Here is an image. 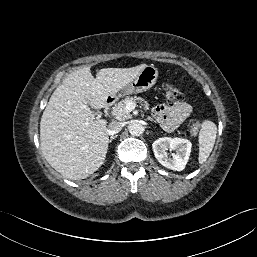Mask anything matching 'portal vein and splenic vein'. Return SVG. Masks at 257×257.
I'll return each instance as SVG.
<instances>
[{
  "label": "portal vein and splenic vein",
  "mask_w": 257,
  "mask_h": 257,
  "mask_svg": "<svg viewBox=\"0 0 257 257\" xmlns=\"http://www.w3.org/2000/svg\"><path fill=\"white\" fill-rule=\"evenodd\" d=\"M134 108H135V103L133 102H128L125 107L126 111H132Z\"/></svg>",
  "instance_id": "portal-vein-and-splenic-vein-1"
}]
</instances>
